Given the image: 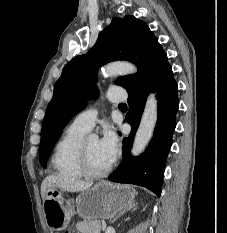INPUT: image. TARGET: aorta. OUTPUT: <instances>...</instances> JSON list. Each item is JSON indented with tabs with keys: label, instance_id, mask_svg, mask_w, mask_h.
I'll list each match as a JSON object with an SVG mask.
<instances>
[{
	"label": "aorta",
	"instance_id": "obj_1",
	"mask_svg": "<svg viewBox=\"0 0 227 233\" xmlns=\"http://www.w3.org/2000/svg\"><path fill=\"white\" fill-rule=\"evenodd\" d=\"M137 72L135 65L128 62H114L107 64L101 69V74L107 77L118 75H128ZM157 100L154 94H150L147 98L144 112L140 121V125L136 132L131 153L137 156L143 152L147 144L151 140L156 122L158 119Z\"/></svg>",
	"mask_w": 227,
	"mask_h": 233
}]
</instances>
